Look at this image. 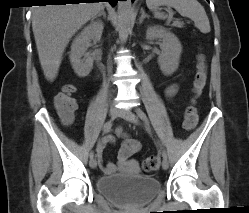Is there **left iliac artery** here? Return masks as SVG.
Listing matches in <instances>:
<instances>
[{
    "label": "left iliac artery",
    "mask_w": 249,
    "mask_h": 213,
    "mask_svg": "<svg viewBox=\"0 0 249 213\" xmlns=\"http://www.w3.org/2000/svg\"><path fill=\"white\" fill-rule=\"evenodd\" d=\"M136 112H137L138 116L146 123V125H149L148 117L146 116L144 111H142L140 108H137ZM162 156H163V158H167V153L164 149L162 151Z\"/></svg>",
    "instance_id": "left-iliac-artery-1"
}]
</instances>
